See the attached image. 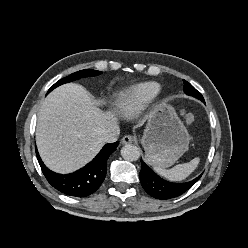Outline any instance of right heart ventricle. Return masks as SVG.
<instances>
[{
	"label": "right heart ventricle",
	"mask_w": 248,
	"mask_h": 248,
	"mask_svg": "<svg viewBox=\"0 0 248 248\" xmlns=\"http://www.w3.org/2000/svg\"><path fill=\"white\" fill-rule=\"evenodd\" d=\"M156 82H143L120 92L115 101V111L123 118L137 115L160 92Z\"/></svg>",
	"instance_id": "obj_1"
}]
</instances>
